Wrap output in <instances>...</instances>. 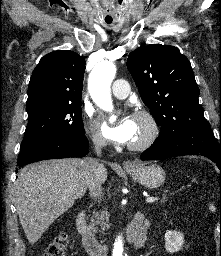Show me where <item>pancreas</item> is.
Returning <instances> with one entry per match:
<instances>
[{
	"label": "pancreas",
	"instance_id": "pancreas-1",
	"mask_svg": "<svg viewBox=\"0 0 221 256\" xmlns=\"http://www.w3.org/2000/svg\"><path fill=\"white\" fill-rule=\"evenodd\" d=\"M163 202L166 201V197L163 198L162 200ZM109 214L107 212H102L101 215L99 216L98 214H96L94 216V218H96L97 220H95L94 218H92L91 222H92V227H94L95 225H98L99 223H101V225L103 227L107 226L108 224H106L104 222V219L106 218V220H108Z\"/></svg>",
	"mask_w": 221,
	"mask_h": 256
}]
</instances>
